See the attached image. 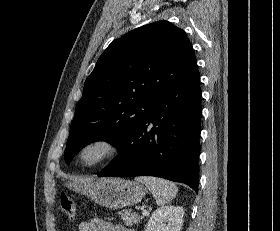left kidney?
<instances>
[{
	"mask_svg": "<svg viewBox=\"0 0 280 231\" xmlns=\"http://www.w3.org/2000/svg\"><path fill=\"white\" fill-rule=\"evenodd\" d=\"M184 209L180 205H164L153 211L144 231H180Z\"/></svg>",
	"mask_w": 280,
	"mask_h": 231,
	"instance_id": "obj_1",
	"label": "left kidney"
}]
</instances>
